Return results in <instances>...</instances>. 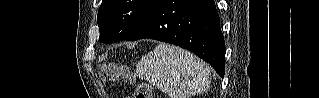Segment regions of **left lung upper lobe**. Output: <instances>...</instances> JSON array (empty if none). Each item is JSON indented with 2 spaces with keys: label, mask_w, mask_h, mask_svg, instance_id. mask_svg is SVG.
<instances>
[{
  "label": "left lung upper lobe",
  "mask_w": 319,
  "mask_h": 98,
  "mask_svg": "<svg viewBox=\"0 0 319 98\" xmlns=\"http://www.w3.org/2000/svg\"><path fill=\"white\" fill-rule=\"evenodd\" d=\"M158 0H103L98 10L99 40L114 43L131 37Z\"/></svg>",
  "instance_id": "obj_1"
}]
</instances>
